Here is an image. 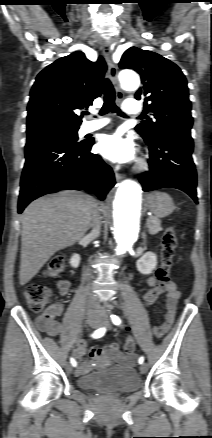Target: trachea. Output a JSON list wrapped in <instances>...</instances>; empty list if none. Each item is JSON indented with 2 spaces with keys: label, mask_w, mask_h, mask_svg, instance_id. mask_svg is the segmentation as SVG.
<instances>
[{
  "label": "trachea",
  "mask_w": 212,
  "mask_h": 438,
  "mask_svg": "<svg viewBox=\"0 0 212 438\" xmlns=\"http://www.w3.org/2000/svg\"><path fill=\"white\" fill-rule=\"evenodd\" d=\"M103 106L99 114L104 115L108 112L117 113L119 116L125 117V114L115 104V90L111 81L106 78L104 81V99ZM86 115L89 113L86 112Z\"/></svg>",
  "instance_id": "obj_1"
}]
</instances>
